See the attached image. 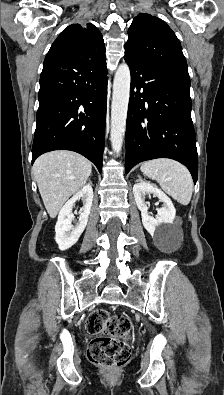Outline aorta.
<instances>
[{"label": "aorta", "mask_w": 224, "mask_h": 395, "mask_svg": "<svg viewBox=\"0 0 224 395\" xmlns=\"http://www.w3.org/2000/svg\"><path fill=\"white\" fill-rule=\"evenodd\" d=\"M130 82L131 75L128 65L120 64L114 76L111 105L110 140L112 149L116 153L121 151L123 145L130 97Z\"/></svg>", "instance_id": "aorta-1"}]
</instances>
